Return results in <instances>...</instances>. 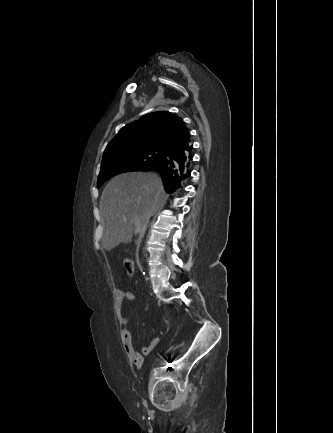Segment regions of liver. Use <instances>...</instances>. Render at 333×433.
I'll return each mask as SVG.
<instances>
[{
	"label": "liver",
	"mask_w": 333,
	"mask_h": 433,
	"mask_svg": "<svg viewBox=\"0 0 333 433\" xmlns=\"http://www.w3.org/2000/svg\"><path fill=\"white\" fill-rule=\"evenodd\" d=\"M167 200L161 180L144 172L124 173L114 177L104 188L100 200L104 233L102 248L110 251L120 243H130L136 229L153 216Z\"/></svg>",
	"instance_id": "liver-1"
}]
</instances>
